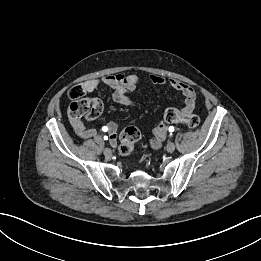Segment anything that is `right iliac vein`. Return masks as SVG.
Masks as SVG:
<instances>
[{
    "label": "right iliac vein",
    "mask_w": 261,
    "mask_h": 261,
    "mask_svg": "<svg viewBox=\"0 0 261 261\" xmlns=\"http://www.w3.org/2000/svg\"><path fill=\"white\" fill-rule=\"evenodd\" d=\"M104 155H105L106 157H111V155H112L111 149L105 148V149H104Z\"/></svg>",
    "instance_id": "1"
}]
</instances>
